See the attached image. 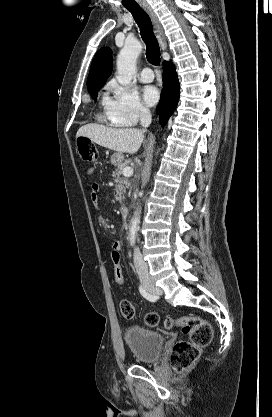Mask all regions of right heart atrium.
Listing matches in <instances>:
<instances>
[{
	"label": "right heart atrium",
	"instance_id": "right-heart-atrium-1",
	"mask_svg": "<svg viewBox=\"0 0 272 417\" xmlns=\"http://www.w3.org/2000/svg\"><path fill=\"white\" fill-rule=\"evenodd\" d=\"M107 90L109 96L104 100V108L113 124L132 126L149 116L148 108L135 91L114 81L108 84Z\"/></svg>",
	"mask_w": 272,
	"mask_h": 417
}]
</instances>
